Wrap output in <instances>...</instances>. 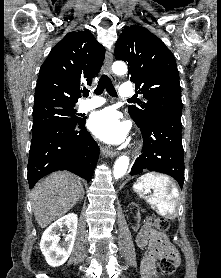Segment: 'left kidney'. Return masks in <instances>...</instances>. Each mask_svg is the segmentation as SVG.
<instances>
[{"mask_svg":"<svg viewBox=\"0 0 221 278\" xmlns=\"http://www.w3.org/2000/svg\"><path fill=\"white\" fill-rule=\"evenodd\" d=\"M131 205H135L137 207V205L135 203H131ZM137 218H138V222L140 221V212L138 211V214H137Z\"/></svg>","mask_w":221,"mask_h":278,"instance_id":"1","label":"left kidney"}]
</instances>
